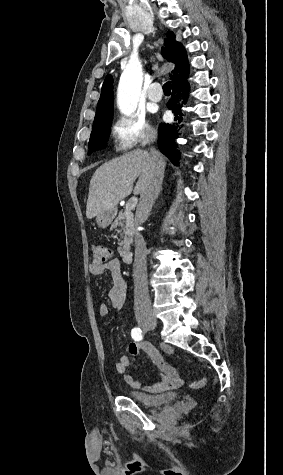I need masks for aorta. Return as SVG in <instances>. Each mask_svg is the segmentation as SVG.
I'll return each instance as SVG.
<instances>
[{
    "instance_id": "aorta-1",
    "label": "aorta",
    "mask_w": 283,
    "mask_h": 475,
    "mask_svg": "<svg viewBox=\"0 0 283 475\" xmlns=\"http://www.w3.org/2000/svg\"><path fill=\"white\" fill-rule=\"evenodd\" d=\"M142 82V67L138 61L131 60L120 77L117 89V105L124 115L130 116L136 110Z\"/></svg>"
}]
</instances>
